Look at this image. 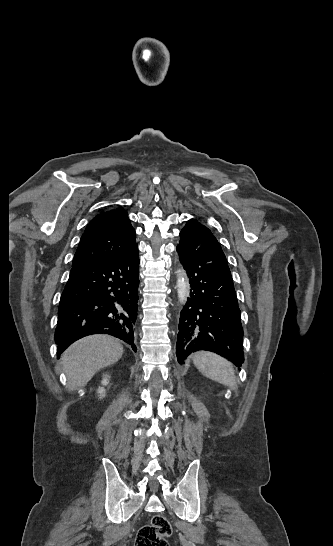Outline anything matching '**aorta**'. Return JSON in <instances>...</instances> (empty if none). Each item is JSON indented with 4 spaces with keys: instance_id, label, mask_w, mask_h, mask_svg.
I'll list each match as a JSON object with an SVG mask.
<instances>
[{
    "instance_id": "obj_1",
    "label": "aorta",
    "mask_w": 333,
    "mask_h": 546,
    "mask_svg": "<svg viewBox=\"0 0 333 546\" xmlns=\"http://www.w3.org/2000/svg\"><path fill=\"white\" fill-rule=\"evenodd\" d=\"M177 293L180 303L184 304L188 296V281L183 270L178 271Z\"/></svg>"
}]
</instances>
